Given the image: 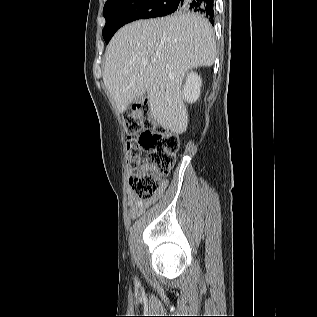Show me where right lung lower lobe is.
<instances>
[{"instance_id": "right-lung-lower-lobe-1", "label": "right lung lower lobe", "mask_w": 317, "mask_h": 317, "mask_svg": "<svg viewBox=\"0 0 317 317\" xmlns=\"http://www.w3.org/2000/svg\"><path fill=\"white\" fill-rule=\"evenodd\" d=\"M213 1L214 0H174L173 6L177 8L176 11H192L204 14L213 23Z\"/></svg>"}]
</instances>
